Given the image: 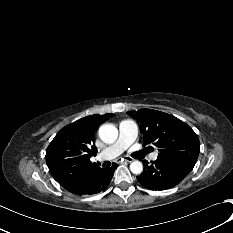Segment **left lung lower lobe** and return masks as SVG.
I'll return each instance as SVG.
<instances>
[{
    "mask_svg": "<svg viewBox=\"0 0 233 233\" xmlns=\"http://www.w3.org/2000/svg\"><path fill=\"white\" fill-rule=\"evenodd\" d=\"M143 172L137 176L138 181L149 190H166L179 184L188 174L175 166L160 160H155L151 165L146 161Z\"/></svg>",
    "mask_w": 233,
    "mask_h": 233,
    "instance_id": "obj_1",
    "label": "left lung lower lobe"
}]
</instances>
